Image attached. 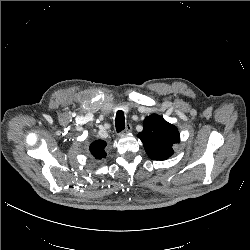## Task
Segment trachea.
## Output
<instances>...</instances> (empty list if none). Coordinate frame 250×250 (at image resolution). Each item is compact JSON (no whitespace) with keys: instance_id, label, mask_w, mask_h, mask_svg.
Listing matches in <instances>:
<instances>
[{"instance_id":"1","label":"trachea","mask_w":250,"mask_h":250,"mask_svg":"<svg viewBox=\"0 0 250 250\" xmlns=\"http://www.w3.org/2000/svg\"><path fill=\"white\" fill-rule=\"evenodd\" d=\"M115 126L117 133L123 131L125 129V117L124 112L119 110L116 114Z\"/></svg>"}]
</instances>
